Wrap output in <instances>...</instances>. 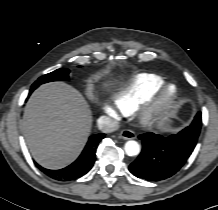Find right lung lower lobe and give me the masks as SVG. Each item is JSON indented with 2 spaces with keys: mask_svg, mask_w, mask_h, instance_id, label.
Listing matches in <instances>:
<instances>
[{
  "mask_svg": "<svg viewBox=\"0 0 218 210\" xmlns=\"http://www.w3.org/2000/svg\"><path fill=\"white\" fill-rule=\"evenodd\" d=\"M33 92L31 88L30 94ZM105 134L92 135L79 158L71 165L60 170H48L37 164V167L49 177L59 181H69L85 175L93 166L97 146Z\"/></svg>",
  "mask_w": 218,
  "mask_h": 210,
  "instance_id": "right-lung-lower-lobe-1",
  "label": "right lung lower lobe"
}]
</instances>
